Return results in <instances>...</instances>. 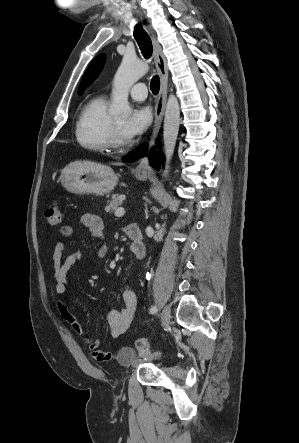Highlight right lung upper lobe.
<instances>
[{"label":"right lung upper lobe","mask_w":299,"mask_h":443,"mask_svg":"<svg viewBox=\"0 0 299 443\" xmlns=\"http://www.w3.org/2000/svg\"><path fill=\"white\" fill-rule=\"evenodd\" d=\"M104 60H105V57L102 54V55L98 56L90 64L88 70L86 71V73H85V75H84V77L82 79L81 86H80L79 91H78L79 94H82L83 93V89L86 86L90 85L93 82V80H95L97 78V76L99 75V73H100V71L102 69Z\"/></svg>","instance_id":"obj_1"}]
</instances>
